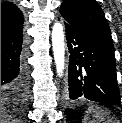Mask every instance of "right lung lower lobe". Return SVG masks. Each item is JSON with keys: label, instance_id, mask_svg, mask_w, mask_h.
<instances>
[{"label": "right lung lower lobe", "instance_id": "1", "mask_svg": "<svg viewBox=\"0 0 122 123\" xmlns=\"http://www.w3.org/2000/svg\"><path fill=\"white\" fill-rule=\"evenodd\" d=\"M26 54L23 27L1 26V96L11 94L16 102H21L27 92Z\"/></svg>", "mask_w": 122, "mask_h": 123}]
</instances>
